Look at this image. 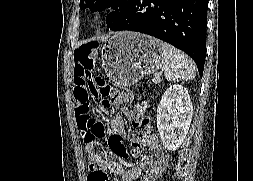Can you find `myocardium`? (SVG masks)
I'll return each mask as SVG.
<instances>
[{"label":"myocardium","mask_w":253,"mask_h":181,"mask_svg":"<svg viewBox=\"0 0 253 181\" xmlns=\"http://www.w3.org/2000/svg\"><path fill=\"white\" fill-rule=\"evenodd\" d=\"M112 11V4L106 1L95 3L89 11L91 25L99 27L105 23Z\"/></svg>","instance_id":"f54148a6"}]
</instances>
